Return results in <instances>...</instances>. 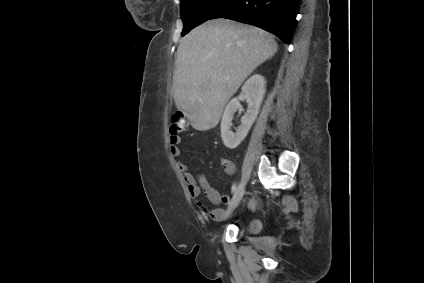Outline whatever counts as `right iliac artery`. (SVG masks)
Returning <instances> with one entry per match:
<instances>
[{
  "label": "right iliac artery",
  "mask_w": 424,
  "mask_h": 283,
  "mask_svg": "<svg viewBox=\"0 0 424 283\" xmlns=\"http://www.w3.org/2000/svg\"><path fill=\"white\" fill-rule=\"evenodd\" d=\"M236 191V184H234L233 186H232V193H234Z\"/></svg>",
  "instance_id": "82829eb1"
}]
</instances>
